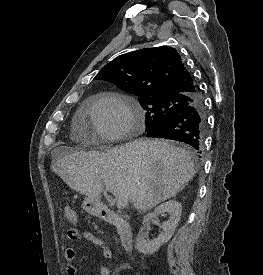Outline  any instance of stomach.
I'll return each mask as SVG.
<instances>
[{
    "instance_id": "1",
    "label": "stomach",
    "mask_w": 263,
    "mask_h": 275,
    "mask_svg": "<svg viewBox=\"0 0 263 275\" xmlns=\"http://www.w3.org/2000/svg\"><path fill=\"white\" fill-rule=\"evenodd\" d=\"M83 209L93 216H99L102 204L99 200L87 197L82 204Z\"/></svg>"
}]
</instances>
